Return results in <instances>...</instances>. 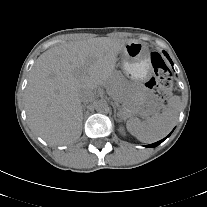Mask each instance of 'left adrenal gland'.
<instances>
[{"instance_id":"obj_1","label":"left adrenal gland","mask_w":207,"mask_h":207,"mask_svg":"<svg viewBox=\"0 0 207 207\" xmlns=\"http://www.w3.org/2000/svg\"><path fill=\"white\" fill-rule=\"evenodd\" d=\"M113 108H114V117H116V106H115V104H113Z\"/></svg>"}]
</instances>
